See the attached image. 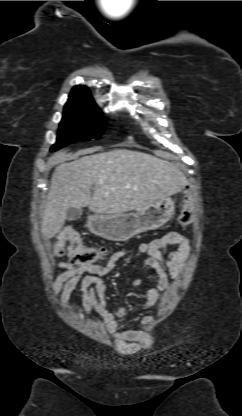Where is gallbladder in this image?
Returning a JSON list of instances; mask_svg holds the SVG:
<instances>
[{"label":"gallbladder","instance_id":"obj_1","mask_svg":"<svg viewBox=\"0 0 242 416\" xmlns=\"http://www.w3.org/2000/svg\"><path fill=\"white\" fill-rule=\"evenodd\" d=\"M81 215H82V209L70 207L67 210L66 219L68 221H74V220L79 219Z\"/></svg>","mask_w":242,"mask_h":416}]
</instances>
